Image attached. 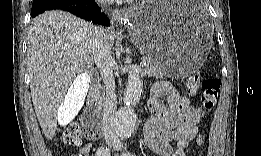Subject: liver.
<instances>
[{"label":"liver","mask_w":261,"mask_h":156,"mask_svg":"<svg viewBox=\"0 0 261 156\" xmlns=\"http://www.w3.org/2000/svg\"><path fill=\"white\" fill-rule=\"evenodd\" d=\"M96 27L71 13L53 10L34 18L27 32V64L34 109L46 139L52 140L57 124H68L83 101L72 103L65 114L68 92L76 76L94 62L93 31ZM108 41H114L112 29H106Z\"/></svg>","instance_id":"6515ba94"}]
</instances>
